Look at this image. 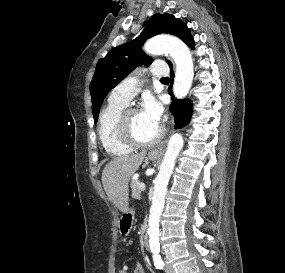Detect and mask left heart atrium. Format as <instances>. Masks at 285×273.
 Wrapping results in <instances>:
<instances>
[{
    "instance_id": "left-heart-atrium-1",
    "label": "left heart atrium",
    "mask_w": 285,
    "mask_h": 273,
    "mask_svg": "<svg viewBox=\"0 0 285 273\" xmlns=\"http://www.w3.org/2000/svg\"><path fill=\"white\" fill-rule=\"evenodd\" d=\"M139 112L148 121L159 125L161 122L163 108L155 98L147 96L144 98Z\"/></svg>"
}]
</instances>
